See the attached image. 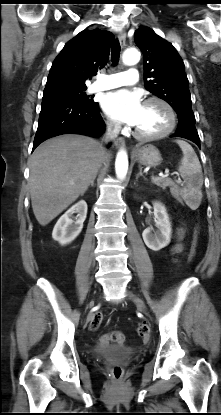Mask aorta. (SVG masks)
<instances>
[{"mask_svg":"<svg viewBox=\"0 0 221 415\" xmlns=\"http://www.w3.org/2000/svg\"><path fill=\"white\" fill-rule=\"evenodd\" d=\"M122 59L126 65H135L140 60V52L137 49H127L123 53ZM115 171L118 179H125L128 171V156L124 149H121L117 153L115 161Z\"/></svg>","mask_w":221,"mask_h":415,"instance_id":"obj_1","label":"aorta"}]
</instances>
